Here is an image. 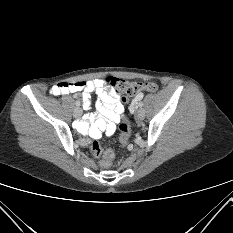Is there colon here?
<instances>
[{
  "mask_svg": "<svg viewBox=\"0 0 233 233\" xmlns=\"http://www.w3.org/2000/svg\"><path fill=\"white\" fill-rule=\"evenodd\" d=\"M106 82L117 94L121 95V101L125 104H128L130 100L139 93L144 91L153 92L157 89V86L151 82L142 83L127 81L116 77H109ZM119 129V142L120 146L123 148L130 139L131 128L129 123L125 121L120 124ZM91 151L95 156L102 155V166L109 167L112 164L114 153L111 150H103L98 140L92 142Z\"/></svg>",
  "mask_w": 233,
  "mask_h": 233,
  "instance_id": "obj_1",
  "label": "colon"
}]
</instances>
